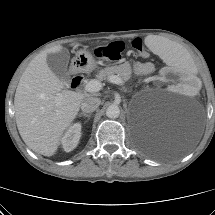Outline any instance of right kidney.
<instances>
[{"label":"right kidney","instance_id":"obj_1","mask_svg":"<svg viewBox=\"0 0 215 215\" xmlns=\"http://www.w3.org/2000/svg\"><path fill=\"white\" fill-rule=\"evenodd\" d=\"M81 137V124L75 123L71 125L63 137L61 138V144L66 152L72 151L74 148H76L79 139Z\"/></svg>","mask_w":215,"mask_h":215}]
</instances>
